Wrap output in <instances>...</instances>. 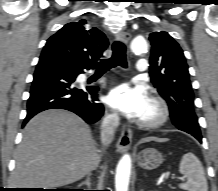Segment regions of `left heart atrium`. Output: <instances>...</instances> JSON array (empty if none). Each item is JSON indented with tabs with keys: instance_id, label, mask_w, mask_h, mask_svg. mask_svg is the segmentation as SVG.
<instances>
[{
	"instance_id": "1",
	"label": "left heart atrium",
	"mask_w": 218,
	"mask_h": 191,
	"mask_svg": "<svg viewBox=\"0 0 218 191\" xmlns=\"http://www.w3.org/2000/svg\"><path fill=\"white\" fill-rule=\"evenodd\" d=\"M149 95L144 86L121 84L113 88L107 96V103L123 114L140 118L149 103Z\"/></svg>"
}]
</instances>
